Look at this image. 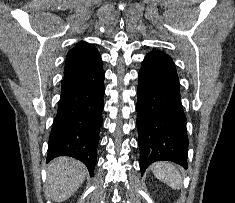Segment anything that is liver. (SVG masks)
Here are the masks:
<instances>
[{
  "instance_id": "obj_1",
  "label": "liver",
  "mask_w": 235,
  "mask_h": 203,
  "mask_svg": "<svg viewBox=\"0 0 235 203\" xmlns=\"http://www.w3.org/2000/svg\"><path fill=\"white\" fill-rule=\"evenodd\" d=\"M87 175L85 165L70 157H58L47 168L49 197L63 202L71 197L82 185Z\"/></svg>"
}]
</instances>
